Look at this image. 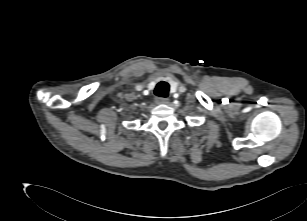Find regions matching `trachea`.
Segmentation results:
<instances>
[{"label": "trachea", "mask_w": 307, "mask_h": 221, "mask_svg": "<svg viewBox=\"0 0 307 221\" xmlns=\"http://www.w3.org/2000/svg\"><path fill=\"white\" fill-rule=\"evenodd\" d=\"M156 96L166 98L169 93V84L165 81L159 82L154 90Z\"/></svg>", "instance_id": "obj_1"}]
</instances>
